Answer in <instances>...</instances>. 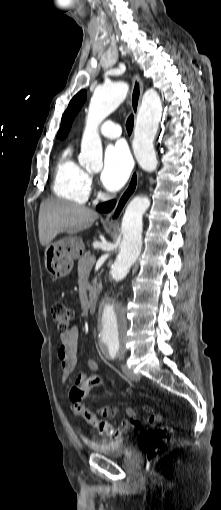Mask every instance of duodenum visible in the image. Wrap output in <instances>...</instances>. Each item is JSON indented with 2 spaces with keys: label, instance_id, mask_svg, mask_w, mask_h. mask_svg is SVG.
I'll return each instance as SVG.
<instances>
[{
  "label": "duodenum",
  "instance_id": "410a0bca",
  "mask_svg": "<svg viewBox=\"0 0 221 510\" xmlns=\"http://www.w3.org/2000/svg\"><path fill=\"white\" fill-rule=\"evenodd\" d=\"M98 298H99V292H96L95 294H93L90 298H89V301H88V304H87V311L92 313L96 310L97 308V304H98Z\"/></svg>",
  "mask_w": 221,
  "mask_h": 510
}]
</instances>
